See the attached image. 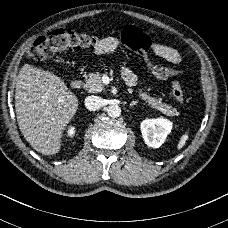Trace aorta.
Masks as SVG:
<instances>
[{"label":"aorta","instance_id":"aorta-1","mask_svg":"<svg viewBox=\"0 0 228 228\" xmlns=\"http://www.w3.org/2000/svg\"><path fill=\"white\" fill-rule=\"evenodd\" d=\"M107 114L111 118H117L121 115V108L118 105H111L107 109Z\"/></svg>","mask_w":228,"mask_h":228}]
</instances>
